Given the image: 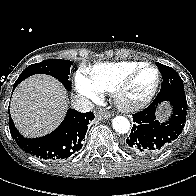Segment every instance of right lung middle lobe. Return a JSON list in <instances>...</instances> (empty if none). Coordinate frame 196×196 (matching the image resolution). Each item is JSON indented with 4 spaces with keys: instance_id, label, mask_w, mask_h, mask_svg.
Here are the masks:
<instances>
[{
    "instance_id": "1",
    "label": "right lung middle lobe",
    "mask_w": 196,
    "mask_h": 196,
    "mask_svg": "<svg viewBox=\"0 0 196 196\" xmlns=\"http://www.w3.org/2000/svg\"><path fill=\"white\" fill-rule=\"evenodd\" d=\"M72 62L69 60L48 59L40 63L29 65L16 80L14 86L34 74H47L57 78L67 90H71V81L68 75Z\"/></svg>"
}]
</instances>
